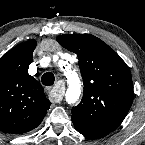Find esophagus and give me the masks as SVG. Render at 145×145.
<instances>
[{
    "instance_id": "1",
    "label": "esophagus",
    "mask_w": 145,
    "mask_h": 145,
    "mask_svg": "<svg viewBox=\"0 0 145 145\" xmlns=\"http://www.w3.org/2000/svg\"><path fill=\"white\" fill-rule=\"evenodd\" d=\"M47 90L49 91L50 98L54 102L59 103L63 99L64 88L60 83L54 87H47Z\"/></svg>"
}]
</instances>
